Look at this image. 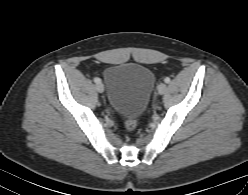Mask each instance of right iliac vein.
Here are the masks:
<instances>
[{"mask_svg":"<svg viewBox=\"0 0 248 195\" xmlns=\"http://www.w3.org/2000/svg\"><path fill=\"white\" fill-rule=\"evenodd\" d=\"M96 90L99 92V93H103L104 92V86L103 84L101 83H97L96 86H95Z\"/></svg>","mask_w":248,"mask_h":195,"instance_id":"right-iliac-vein-1","label":"right iliac vein"}]
</instances>
